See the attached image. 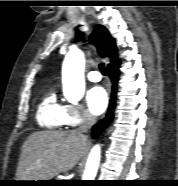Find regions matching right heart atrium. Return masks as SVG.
I'll return each mask as SVG.
<instances>
[{"label": "right heart atrium", "instance_id": "right-heart-atrium-1", "mask_svg": "<svg viewBox=\"0 0 178 186\" xmlns=\"http://www.w3.org/2000/svg\"><path fill=\"white\" fill-rule=\"evenodd\" d=\"M93 120L92 115L81 106H68L67 125L76 127L82 124L90 123Z\"/></svg>", "mask_w": 178, "mask_h": 186}]
</instances>
